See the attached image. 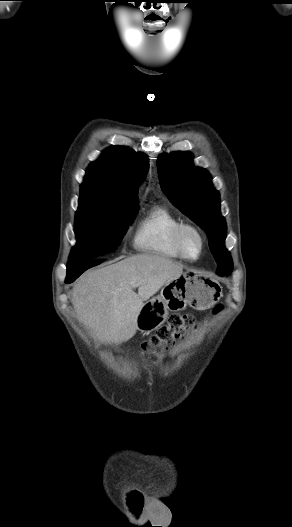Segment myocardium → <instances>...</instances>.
I'll return each mask as SVG.
<instances>
[{
	"label": "myocardium",
	"mask_w": 292,
	"mask_h": 527,
	"mask_svg": "<svg viewBox=\"0 0 292 527\" xmlns=\"http://www.w3.org/2000/svg\"><path fill=\"white\" fill-rule=\"evenodd\" d=\"M187 232H192L196 234L200 241L199 253L195 257L189 256L185 250L184 237ZM174 243H175L176 249L178 253L180 254L181 258L187 261H190V262H195V261H198L202 257L205 251L206 237L203 231L198 226L191 224V223H182L175 230Z\"/></svg>",
	"instance_id": "obj_1"
}]
</instances>
